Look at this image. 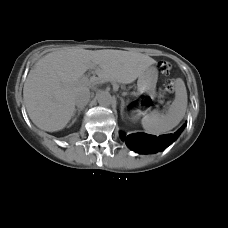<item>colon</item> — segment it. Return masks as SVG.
<instances>
[{
    "instance_id": "obj_1",
    "label": "colon",
    "mask_w": 228,
    "mask_h": 228,
    "mask_svg": "<svg viewBox=\"0 0 228 228\" xmlns=\"http://www.w3.org/2000/svg\"><path fill=\"white\" fill-rule=\"evenodd\" d=\"M172 66L169 62H162L160 64V70L163 73H168L171 70ZM165 90L167 93L171 94L174 90V83L173 82H169L168 84H166L165 86Z\"/></svg>"
}]
</instances>
